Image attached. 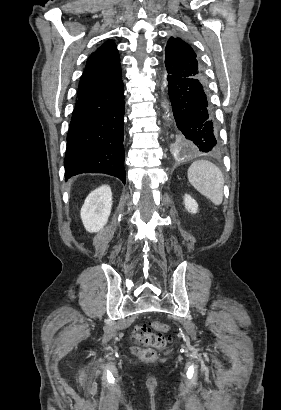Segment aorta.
Listing matches in <instances>:
<instances>
[{"mask_svg":"<svg viewBox=\"0 0 281 410\" xmlns=\"http://www.w3.org/2000/svg\"><path fill=\"white\" fill-rule=\"evenodd\" d=\"M163 107H166V105H165V104H163Z\"/></svg>","mask_w":281,"mask_h":410,"instance_id":"1","label":"aorta"}]
</instances>
